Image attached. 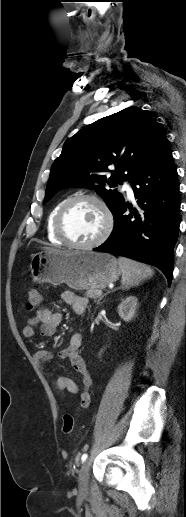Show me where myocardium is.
Instances as JSON below:
<instances>
[{
  "mask_svg": "<svg viewBox=\"0 0 186 517\" xmlns=\"http://www.w3.org/2000/svg\"><path fill=\"white\" fill-rule=\"evenodd\" d=\"M81 201H91L99 206L104 216V227L100 235L93 241L89 243H77L71 240L64 229V223L69 210L78 202ZM113 216L112 213L107 206V204L99 197L93 194H79L68 199L59 209L56 218H55V232L57 236L65 243L67 246L76 248V249H93L100 246L104 243L108 237L111 235L113 230Z\"/></svg>",
  "mask_w": 186,
  "mask_h": 517,
  "instance_id": "obj_1",
  "label": "myocardium"
}]
</instances>
